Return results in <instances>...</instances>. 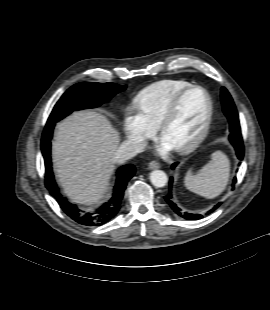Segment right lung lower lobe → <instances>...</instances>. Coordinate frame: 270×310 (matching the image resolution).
Segmentation results:
<instances>
[{
    "label": "right lung lower lobe",
    "mask_w": 270,
    "mask_h": 310,
    "mask_svg": "<svg viewBox=\"0 0 270 310\" xmlns=\"http://www.w3.org/2000/svg\"><path fill=\"white\" fill-rule=\"evenodd\" d=\"M56 122H47L43 134L41 149L45 160V185L50 194L57 200L62 210L74 221L87 226H99L112 219L120 209V203L127 182L135 173V167L131 164L124 165L117 171V180L112 198L94 212L80 210L75 204L70 203L60 193L51 167L50 146L53 128Z\"/></svg>",
    "instance_id": "1"
}]
</instances>
